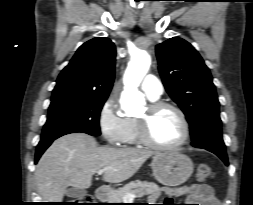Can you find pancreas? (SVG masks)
Returning <instances> with one entry per match:
<instances>
[{
	"mask_svg": "<svg viewBox=\"0 0 253 205\" xmlns=\"http://www.w3.org/2000/svg\"><path fill=\"white\" fill-rule=\"evenodd\" d=\"M128 193L135 194L138 197H143L148 195V199L151 201H156L161 195V190L158 185L154 182L146 181H133L126 184L124 187L115 190L110 198V203H125L124 196Z\"/></svg>",
	"mask_w": 253,
	"mask_h": 205,
	"instance_id": "cf45deb5",
	"label": "pancreas"
}]
</instances>
